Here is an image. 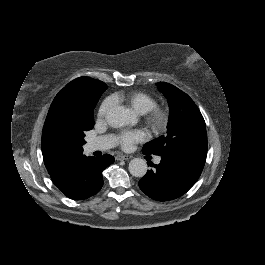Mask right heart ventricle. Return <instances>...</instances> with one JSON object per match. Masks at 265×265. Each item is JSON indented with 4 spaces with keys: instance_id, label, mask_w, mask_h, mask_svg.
<instances>
[{
    "instance_id": "e07e8e85",
    "label": "right heart ventricle",
    "mask_w": 265,
    "mask_h": 265,
    "mask_svg": "<svg viewBox=\"0 0 265 265\" xmlns=\"http://www.w3.org/2000/svg\"><path fill=\"white\" fill-rule=\"evenodd\" d=\"M115 104L123 105L134 113L144 115L156 106L155 99L140 90L120 89L111 95Z\"/></svg>"
}]
</instances>
